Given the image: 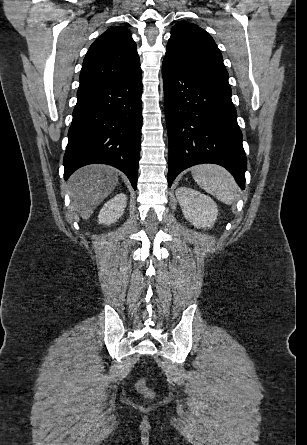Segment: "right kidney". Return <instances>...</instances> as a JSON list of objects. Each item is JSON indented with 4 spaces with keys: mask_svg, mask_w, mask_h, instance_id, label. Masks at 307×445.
<instances>
[{
    "mask_svg": "<svg viewBox=\"0 0 307 445\" xmlns=\"http://www.w3.org/2000/svg\"><path fill=\"white\" fill-rule=\"evenodd\" d=\"M126 202L127 196L124 192H119V194L107 200L99 212V225H112V223H116V220L122 216L126 208Z\"/></svg>",
    "mask_w": 307,
    "mask_h": 445,
    "instance_id": "obj_1",
    "label": "right kidney"
}]
</instances>
